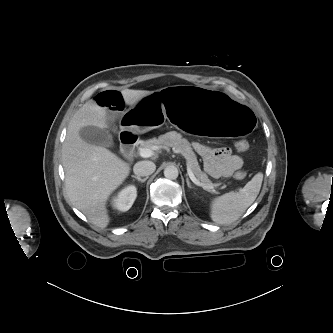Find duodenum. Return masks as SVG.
<instances>
[{
  "instance_id": "duodenum-1",
  "label": "duodenum",
  "mask_w": 333,
  "mask_h": 333,
  "mask_svg": "<svg viewBox=\"0 0 333 333\" xmlns=\"http://www.w3.org/2000/svg\"><path fill=\"white\" fill-rule=\"evenodd\" d=\"M121 148L126 157H131L135 151V148L138 144V137L128 131L121 133Z\"/></svg>"
}]
</instances>
